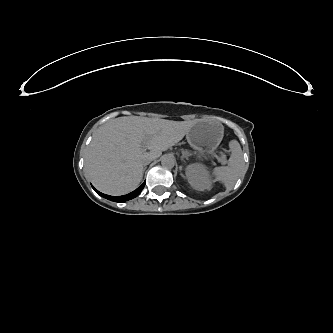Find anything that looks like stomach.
<instances>
[{
    "mask_svg": "<svg viewBox=\"0 0 333 333\" xmlns=\"http://www.w3.org/2000/svg\"><path fill=\"white\" fill-rule=\"evenodd\" d=\"M187 140L190 144H196L197 143L196 140L193 138V136L188 137Z\"/></svg>",
    "mask_w": 333,
    "mask_h": 333,
    "instance_id": "0dacf381",
    "label": "stomach"
}]
</instances>
